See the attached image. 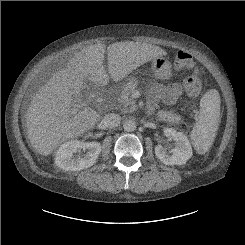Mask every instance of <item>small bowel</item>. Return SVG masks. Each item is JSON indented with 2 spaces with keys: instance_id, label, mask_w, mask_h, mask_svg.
I'll return each mask as SVG.
<instances>
[{
  "instance_id": "obj_1",
  "label": "small bowel",
  "mask_w": 245,
  "mask_h": 245,
  "mask_svg": "<svg viewBox=\"0 0 245 245\" xmlns=\"http://www.w3.org/2000/svg\"><path fill=\"white\" fill-rule=\"evenodd\" d=\"M152 92L156 101H160L163 104L171 105L181 94V86L178 83H174L170 86H165L161 83H152ZM155 104L151 105V111L154 110Z\"/></svg>"
}]
</instances>
